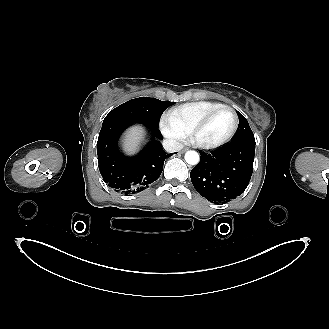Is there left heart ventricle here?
Returning a JSON list of instances; mask_svg holds the SVG:
<instances>
[{
    "mask_svg": "<svg viewBox=\"0 0 329 329\" xmlns=\"http://www.w3.org/2000/svg\"><path fill=\"white\" fill-rule=\"evenodd\" d=\"M234 124L233 114L229 110L217 113L198 133V139L204 142H215L224 139Z\"/></svg>",
    "mask_w": 329,
    "mask_h": 329,
    "instance_id": "obj_1",
    "label": "left heart ventricle"
}]
</instances>
